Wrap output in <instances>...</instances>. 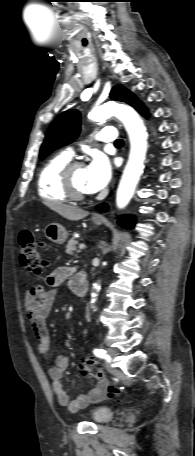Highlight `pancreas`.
I'll return each mask as SVG.
<instances>
[{"label":"pancreas","mask_w":195,"mask_h":456,"mask_svg":"<svg viewBox=\"0 0 195 456\" xmlns=\"http://www.w3.org/2000/svg\"><path fill=\"white\" fill-rule=\"evenodd\" d=\"M77 244L78 241L75 238H71L66 246V252L68 254H73L75 251H77Z\"/></svg>","instance_id":"pancreas-1"}]
</instances>
